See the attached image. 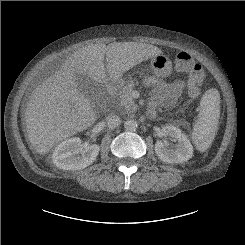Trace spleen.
I'll list each match as a JSON object with an SVG mask.
<instances>
[{
  "instance_id": "spleen-1",
  "label": "spleen",
  "mask_w": 245,
  "mask_h": 245,
  "mask_svg": "<svg viewBox=\"0 0 245 245\" xmlns=\"http://www.w3.org/2000/svg\"><path fill=\"white\" fill-rule=\"evenodd\" d=\"M220 117V94L212 88L200 101L198 120L193 127L192 140L197 150L204 152L211 145L217 132Z\"/></svg>"
}]
</instances>
